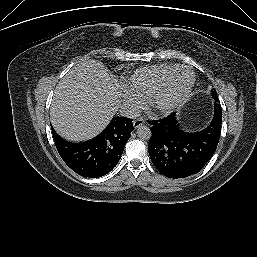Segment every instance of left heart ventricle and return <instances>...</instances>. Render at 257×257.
Listing matches in <instances>:
<instances>
[{
	"label": "left heart ventricle",
	"instance_id": "obj_1",
	"mask_svg": "<svg viewBox=\"0 0 257 257\" xmlns=\"http://www.w3.org/2000/svg\"><path fill=\"white\" fill-rule=\"evenodd\" d=\"M190 79L191 76L188 71L180 70L176 72L167 83L165 97L171 98L180 94L189 84Z\"/></svg>",
	"mask_w": 257,
	"mask_h": 257
}]
</instances>
